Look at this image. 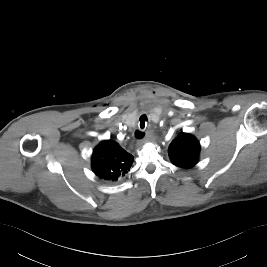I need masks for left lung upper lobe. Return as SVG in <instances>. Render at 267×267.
<instances>
[{
  "label": "left lung upper lobe",
  "instance_id": "1",
  "mask_svg": "<svg viewBox=\"0 0 267 267\" xmlns=\"http://www.w3.org/2000/svg\"><path fill=\"white\" fill-rule=\"evenodd\" d=\"M199 151L200 144L196 138L182 132L169 145L168 155L175 166L189 169L197 164Z\"/></svg>",
  "mask_w": 267,
  "mask_h": 267
}]
</instances>
